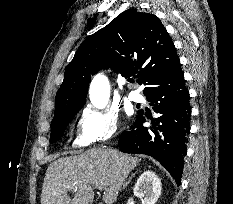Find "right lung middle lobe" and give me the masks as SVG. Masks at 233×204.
Listing matches in <instances>:
<instances>
[{"label":"right lung middle lobe","mask_w":233,"mask_h":204,"mask_svg":"<svg viewBox=\"0 0 233 204\" xmlns=\"http://www.w3.org/2000/svg\"><path fill=\"white\" fill-rule=\"evenodd\" d=\"M78 112V110L72 111L66 114L64 117L60 119L53 120L51 122V137L50 143L56 142L61 135L63 134L67 124L71 121L74 115Z\"/></svg>","instance_id":"obj_1"}]
</instances>
